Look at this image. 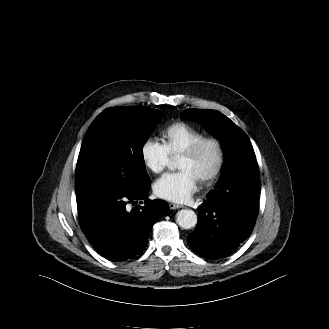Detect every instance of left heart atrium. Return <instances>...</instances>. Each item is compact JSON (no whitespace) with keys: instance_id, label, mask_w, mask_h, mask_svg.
I'll use <instances>...</instances> for the list:
<instances>
[{"instance_id":"left-heart-atrium-1","label":"left heart atrium","mask_w":329,"mask_h":329,"mask_svg":"<svg viewBox=\"0 0 329 329\" xmlns=\"http://www.w3.org/2000/svg\"><path fill=\"white\" fill-rule=\"evenodd\" d=\"M198 179L189 170L168 173L154 184L155 194L165 200L183 203L197 190Z\"/></svg>"}]
</instances>
